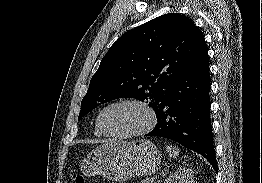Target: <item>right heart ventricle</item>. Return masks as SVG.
<instances>
[{
	"instance_id": "e07e8e85",
	"label": "right heart ventricle",
	"mask_w": 262,
	"mask_h": 183,
	"mask_svg": "<svg viewBox=\"0 0 262 183\" xmlns=\"http://www.w3.org/2000/svg\"><path fill=\"white\" fill-rule=\"evenodd\" d=\"M94 135L97 136V137H104V135L99 131L96 124H95V128H94Z\"/></svg>"
}]
</instances>
